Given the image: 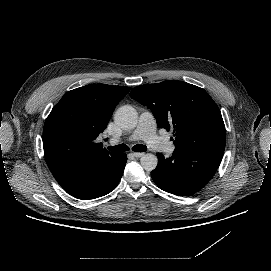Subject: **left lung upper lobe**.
<instances>
[{
  "mask_svg": "<svg viewBox=\"0 0 271 271\" xmlns=\"http://www.w3.org/2000/svg\"><path fill=\"white\" fill-rule=\"evenodd\" d=\"M130 96L152 111L160 128H173L175 147L225 149L221 112L204 89L169 80L134 87Z\"/></svg>",
  "mask_w": 271,
  "mask_h": 271,
  "instance_id": "left-lung-upper-lobe-1",
  "label": "left lung upper lobe"
}]
</instances>
